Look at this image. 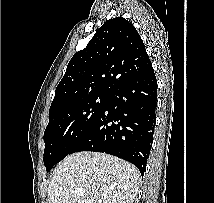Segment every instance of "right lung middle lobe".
<instances>
[{"instance_id":"obj_1","label":"right lung middle lobe","mask_w":214,"mask_h":203,"mask_svg":"<svg viewBox=\"0 0 214 203\" xmlns=\"http://www.w3.org/2000/svg\"><path fill=\"white\" fill-rule=\"evenodd\" d=\"M107 101L108 93H94L49 111V123L44 132V165L47 172L70 154Z\"/></svg>"}]
</instances>
